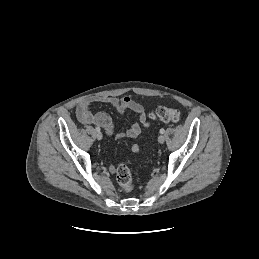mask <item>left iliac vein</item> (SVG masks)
Here are the masks:
<instances>
[{
  "mask_svg": "<svg viewBox=\"0 0 259 259\" xmlns=\"http://www.w3.org/2000/svg\"><path fill=\"white\" fill-rule=\"evenodd\" d=\"M164 141H165V136L164 135H160L158 137V142L162 144V143H164Z\"/></svg>",
  "mask_w": 259,
  "mask_h": 259,
  "instance_id": "4c4485c4",
  "label": "left iliac vein"
}]
</instances>
